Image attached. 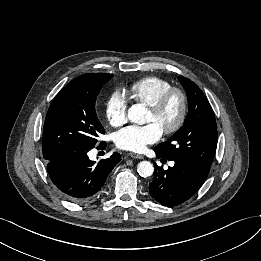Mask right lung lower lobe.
<instances>
[{
  "mask_svg": "<svg viewBox=\"0 0 261 261\" xmlns=\"http://www.w3.org/2000/svg\"><path fill=\"white\" fill-rule=\"evenodd\" d=\"M98 148H105V142ZM88 150L75 151L48 162L47 171L60 194L73 202H87L95 198L115 165L119 153L98 163L89 160Z\"/></svg>",
  "mask_w": 261,
  "mask_h": 261,
  "instance_id": "obj_1",
  "label": "right lung lower lobe"
}]
</instances>
